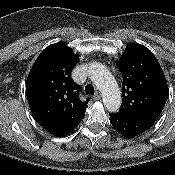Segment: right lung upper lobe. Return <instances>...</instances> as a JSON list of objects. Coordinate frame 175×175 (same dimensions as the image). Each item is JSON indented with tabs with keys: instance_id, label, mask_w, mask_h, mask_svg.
<instances>
[{
	"instance_id": "1",
	"label": "right lung upper lobe",
	"mask_w": 175,
	"mask_h": 175,
	"mask_svg": "<svg viewBox=\"0 0 175 175\" xmlns=\"http://www.w3.org/2000/svg\"><path fill=\"white\" fill-rule=\"evenodd\" d=\"M78 60L70 47L58 42L40 53L28 74L30 110L48 132L73 127L85 116L89 98L80 100L81 88L71 78Z\"/></svg>"
}]
</instances>
